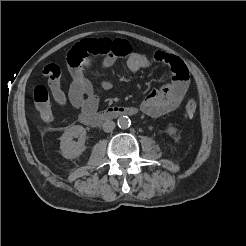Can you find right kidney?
<instances>
[{"label":"right kidney","mask_w":246,"mask_h":246,"mask_svg":"<svg viewBox=\"0 0 246 246\" xmlns=\"http://www.w3.org/2000/svg\"><path fill=\"white\" fill-rule=\"evenodd\" d=\"M78 142L73 138H78ZM86 129L81 125H75L68 128L61 136L60 149L62 156L66 159L79 157L86 149Z\"/></svg>","instance_id":"right-kidney-1"}]
</instances>
